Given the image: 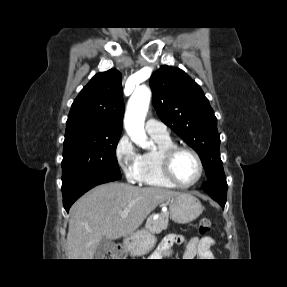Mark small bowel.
<instances>
[{"label":"small bowel","mask_w":287,"mask_h":287,"mask_svg":"<svg viewBox=\"0 0 287 287\" xmlns=\"http://www.w3.org/2000/svg\"><path fill=\"white\" fill-rule=\"evenodd\" d=\"M214 240L211 237L198 238L193 237L189 242H186L185 238L178 234H172L166 236L157 250L154 252V257H169L173 254V246L186 244L185 258L192 259L195 256L200 258H209L212 256L211 248L214 245Z\"/></svg>","instance_id":"small-bowel-1"}]
</instances>
